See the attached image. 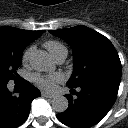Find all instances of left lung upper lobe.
<instances>
[{"mask_svg":"<svg viewBox=\"0 0 128 128\" xmlns=\"http://www.w3.org/2000/svg\"><path fill=\"white\" fill-rule=\"evenodd\" d=\"M73 49L74 71L67 85L80 86L96 75L121 77V62L110 40L86 26L50 30Z\"/></svg>","mask_w":128,"mask_h":128,"instance_id":"left-lung-upper-lobe-1","label":"left lung upper lobe"}]
</instances>
